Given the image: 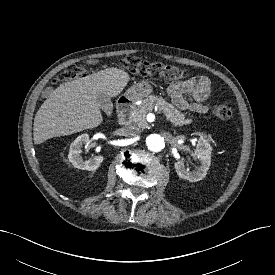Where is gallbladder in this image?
I'll return each mask as SVG.
<instances>
[{
  "label": "gallbladder",
  "mask_w": 275,
  "mask_h": 275,
  "mask_svg": "<svg viewBox=\"0 0 275 275\" xmlns=\"http://www.w3.org/2000/svg\"><path fill=\"white\" fill-rule=\"evenodd\" d=\"M98 102L100 104L101 109L106 113L110 114L113 110V103L109 96L107 95H98Z\"/></svg>",
  "instance_id": "obj_1"
}]
</instances>
